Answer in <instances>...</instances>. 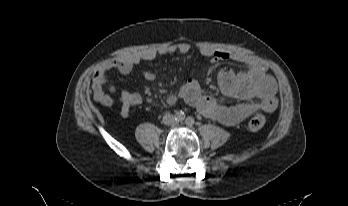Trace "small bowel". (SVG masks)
Masks as SVG:
<instances>
[{"mask_svg":"<svg viewBox=\"0 0 348 206\" xmlns=\"http://www.w3.org/2000/svg\"><path fill=\"white\" fill-rule=\"evenodd\" d=\"M189 51L190 45L183 43L177 47L135 52L104 63L93 81L94 99L105 106L120 103L121 117L128 118L131 109L142 103L141 95L122 90L119 97L114 98L106 91L105 83L98 79V74L110 69H116L123 74H127L138 63L151 61L159 55L175 52L186 54ZM199 52L203 57L212 59L213 62L230 59L245 67L244 70L239 71L224 69L218 78L221 91L229 97L239 99L241 102L231 106L215 97L205 95L201 86L195 80L188 81L177 92L169 94V102L173 103L183 98L204 116L226 126H235L257 112L271 113L277 109V84L275 79L267 74V68L262 62L245 54L228 53L207 47L200 48ZM143 76L147 81L155 80V74L151 71H144Z\"/></svg>","mask_w":348,"mask_h":206,"instance_id":"c3829d8e","label":"small bowel"}]
</instances>
